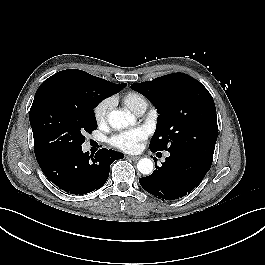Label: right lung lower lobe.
Returning a JSON list of instances; mask_svg holds the SVG:
<instances>
[{
  "label": "right lung lower lobe",
  "mask_w": 265,
  "mask_h": 265,
  "mask_svg": "<svg viewBox=\"0 0 265 265\" xmlns=\"http://www.w3.org/2000/svg\"><path fill=\"white\" fill-rule=\"evenodd\" d=\"M122 158V153L111 149H100L95 156H89L82 147L36 157L48 180L75 195L101 188L108 179L111 163Z\"/></svg>",
  "instance_id": "right-lung-lower-lobe-1"
}]
</instances>
